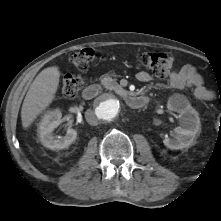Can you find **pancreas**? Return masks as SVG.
Wrapping results in <instances>:
<instances>
[{
    "label": "pancreas",
    "mask_w": 221,
    "mask_h": 221,
    "mask_svg": "<svg viewBox=\"0 0 221 221\" xmlns=\"http://www.w3.org/2000/svg\"><path fill=\"white\" fill-rule=\"evenodd\" d=\"M101 83L105 86L107 89H122V87L111 77L105 76L101 79Z\"/></svg>",
    "instance_id": "obj_1"
}]
</instances>
